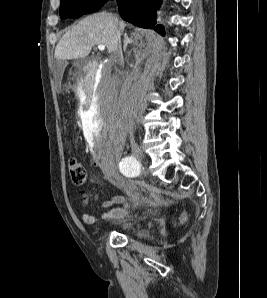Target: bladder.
<instances>
[{"label":"bladder","mask_w":267,"mask_h":298,"mask_svg":"<svg viewBox=\"0 0 267 298\" xmlns=\"http://www.w3.org/2000/svg\"><path fill=\"white\" fill-rule=\"evenodd\" d=\"M131 233L137 237H148L149 232L147 229H140L136 231H131Z\"/></svg>","instance_id":"31cf9c89"}]
</instances>
